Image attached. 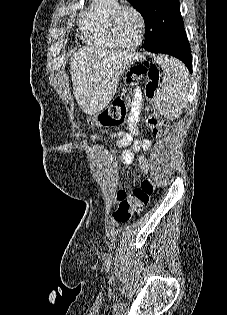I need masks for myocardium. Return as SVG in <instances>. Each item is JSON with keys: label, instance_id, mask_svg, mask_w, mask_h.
Returning a JSON list of instances; mask_svg holds the SVG:
<instances>
[{"label": "myocardium", "instance_id": "f54148a6", "mask_svg": "<svg viewBox=\"0 0 227 315\" xmlns=\"http://www.w3.org/2000/svg\"><path fill=\"white\" fill-rule=\"evenodd\" d=\"M129 10L132 11L138 18L139 24H140V30H139V39L138 41L131 46H125L119 43V41L116 38L115 35V25L116 22L121 15L122 12ZM145 30H146V19L143 15V13L135 6L130 5V4H120L111 14V17L109 19V24H108V34L111 42L115 45V47H118L120 49L124 50H135L138 47L141 46V44L144 41L145 38Z\"/></svg>", "mask_w": 227, "mask_h": 315}]
</instances>
